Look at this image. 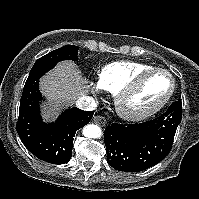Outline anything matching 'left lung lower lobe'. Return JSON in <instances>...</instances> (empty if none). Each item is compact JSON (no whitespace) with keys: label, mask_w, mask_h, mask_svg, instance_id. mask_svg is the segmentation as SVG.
<instances>
[{"label":"left lung lower lobe","mask_w":199,"mask_h":199,"mask_svg":"<svg viewBox=\"0 0 199 199\" xmlns=\"http://www.w3.org/2000/svg\"><path fill=\"white\" fill-rule=\"evenodd\" d=\"M181 119L182 102L178 100L153 120L107 126L104 142L108 164L124 172H139L156 165L170 152Z\"/></svg>","instance_id":"left-lung-lower-lobe-1"}]
</instances>
